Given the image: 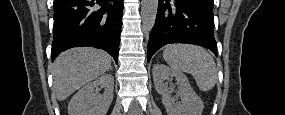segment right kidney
<instances>
[{
	"instance_id": "1",
	"label": "right kidney",
	"mask_w": 285,
	"mask_h": 115,
	"mask_svg": "<svg viewBox=\"0 0 285 115\" xmlns=\"http://www.w3.org/2000/svg\"><path fill=\"white\" fill-rule=\"evenodd\" d=\"M104 89L102 95L96 96L95 89ZM114 77L104 74L93 82L86 84L70 100L69 115H106L113 100Z\"/></svg>"
}]
</instances>
